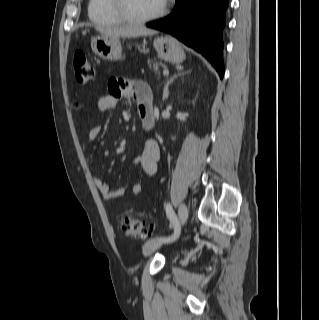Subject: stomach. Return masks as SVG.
Segmentation results:
<instances>
[{"label": "stomach", "mask_w": 319, "mask_h": 320, "mask_svg": "<svg viewBox=\"0 0 319 320\" xmlns=\"http://www.w3.org/2000/svg\"><path fill=\"white\" fill-rule=\"evenodd\" d=\"M153 46L158 57L164 61L179 64L185 59V53L180 43L171 36L155 38ZM91 48L97 56L104 60L118 61L122 58L120 37L98 35L92 38Z\"/></svg>", "instance_id": "obj_1"}]
</instances>
